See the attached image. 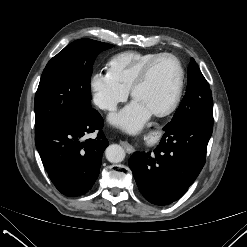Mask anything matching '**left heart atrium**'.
<instances>
[{"instance_id":"39dd6f15","label":"left heart atrium","mask_w":247,"mask_h":247,"mask_svg":"<svg viewBox=\"0 0 247 247\" xmlns=\"http://www.w3.org/2000/svg\"><path fill=\"white\" fill-rule=\"evenodd\" d=\"M151 111L137 100L132 101L128 106L118 113L110 115V122L119 128L129 131L138 130L150 117Z\"/></svg>"}]
</instances>
